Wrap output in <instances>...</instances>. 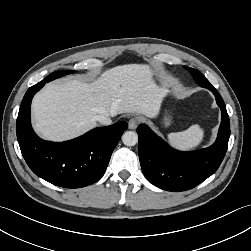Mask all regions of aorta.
<instances>
[{
  "instance_id": "obj_1",
  "label": "aorta",
  "mask_w": 251,
  "mask_h": 251,
  "mask_svg": "<svg viewBox=\"0 0 251 251\" xmlns=\"http://www.w3.org/2000/svg\"><path fill=\"white\" fill-rule=\"evenodd\" d=\"M122 141L126 146H134L138 142V134L134 131H127L123 134Z\"/></svg>"
}]
</instances>
